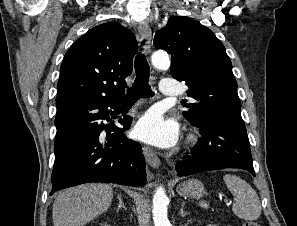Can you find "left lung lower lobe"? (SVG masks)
<instances>
[{
    "label": "left lung lower lobe",
    "mask_w": 297,
    "mask_h": 226,
    "mask_svg": "<svg viewBox=\"0 0 297 226\" xmlns=\"http://www.w3.org/2000/svg\"><path fill=\"white\" fill-rule=\"evenodd\" d=\"M202 138L188 159L176 164L178 176L209 170L240 168L255 176L248 135L244 121L213 117L199 124Z\"/></svg>",
    "instance_id": "left-lung-lower-lobe-1"
}]
</instances>
